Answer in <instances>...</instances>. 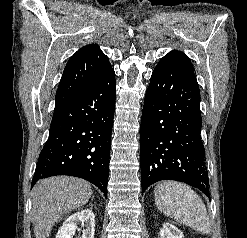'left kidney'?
<instances>
[{"instance_id":"1","label":"left kidney","mask_w":247,"mask_h":238,"mask_svg":"<svg viewBox=\"0 0 247 238\" xmlns=\"http://www.w3.org/2000/svg\"><path fill=\"white\" fill-rule=\"evenodd\" d=\"M160 238H184V236L177 227L170 223H165L160 230Z\"/></svg>"}]
</instances>
